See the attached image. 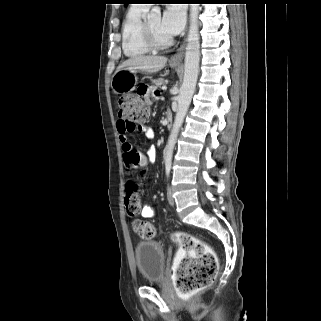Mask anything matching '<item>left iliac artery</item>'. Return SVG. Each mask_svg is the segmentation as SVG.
<instances>
[{
    "instance_id": "obj_1",
    "label": "left iliac artery",
    "mask_w": 321,
    "mask_h": 321,
    "mask_svg": "<svg viewBox=\"0 0 321 321\" xmlns=\"http://www.w3.org/2000/svg\"><path fill=\"white\" fill-rule=\"evenodd\" d=\"M170 170H171V163H166V175L167 177L169 176L170 174Z\"/></svg>"
}]
</instances>
